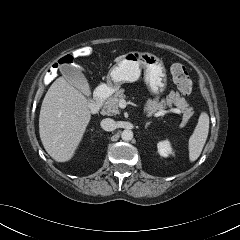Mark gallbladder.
<instances>
[{"instance_id":"gallbladder-1","label":"gallbladder","mask_w":240,"mask_h":240,"mask_svg":"<svg viewBox=\"0 0 240 240\" xmlns=\"http://www.w3.org/2000/svg\"><path fill=\"white\" fill-rule=\"evenodd\" d=\"M61 72L64 75L65 79L68 81V83L77 88L85 96L90 97L91 90L88 80L82 73V70L79 66L64 65L61 68Z\"/></svg>"}]
</instances>
